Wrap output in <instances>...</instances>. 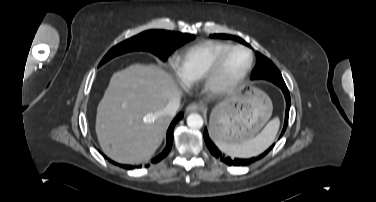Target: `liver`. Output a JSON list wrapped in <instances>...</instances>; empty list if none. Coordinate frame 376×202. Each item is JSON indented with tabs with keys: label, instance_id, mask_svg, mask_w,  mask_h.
<instances>
[{
	"label": "liver",
	"instance_id": "6515ba94",
	"mask_svg": "<svg viewBox=\"0 0 376 202\" xmlns=\"http://www.w3.org/2000/svg\"><path fill=\"white\" fill-rule=\"evenodd\" d=\"M179 94L160 65L134 64L115 72L97 108L96 133L103 152L123 164L149 160L172 119L162 111Z\"/></svg>",
	"mask_w": 376,
	"mask_h": 202
}]
</instances>
